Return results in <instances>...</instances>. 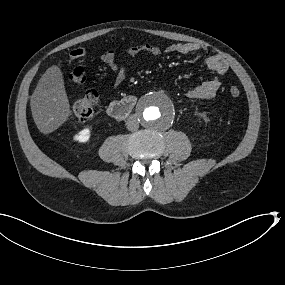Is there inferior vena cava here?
I'll return each instance as SVG.
<instances>
[{
	"label": "inferior vena cava",
	"mask_w": 285,
	"mask_h": 285,
	"mask_svg": "<svg viewBox=\"0 0 285 285\" xmlns=\"http://www.w3.org/2000/svg\"><path fill=\"white\" fill-rule=\"evenodd\" d=\"M127 129L130 131H136L139 128V121L137 115H130L126 122Z\"/></svg>",
	"instance_id": "602c4592"
}]
</instances>
